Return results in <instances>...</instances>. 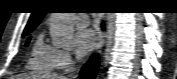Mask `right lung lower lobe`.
<instances>
[{
    "label": "right lung lower lobe",
    "mask_w": 177,
    "mask_h": 79,
    "mask_svg": "<svg viewBox=\"0 0 177 79\" xmlns=\"http://www.w3.org/2000/svg\"><path fill=\"white\" fill-rule=\"evenodd\" d=\"M99 58L97 56L91 58V60L84 65L81 71V79H94L97 68H98Z\"/></svg>",
    "instance_id": "98d812e1"
}]
</instances>
